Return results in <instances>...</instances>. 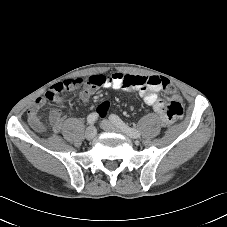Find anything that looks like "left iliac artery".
<instances>
[{
  "instance_id": "44dca946",
  "label": "left iliac artery",
  "mask_w": 227,
  "mask_h": 227,
  "mask_svg": "<svg viewBox=\"0 0 227 227\" xmlns=\"http://www.w3.org/2000/svg\"><path fill=\"white\" fill-rule=\"evenodd\" d=\"M109 119L122 131L127 133L132 138L140 137V132L134 128L127 126L117 115L112 114L110 115Z\"/></svg>"
}]
</instances>
